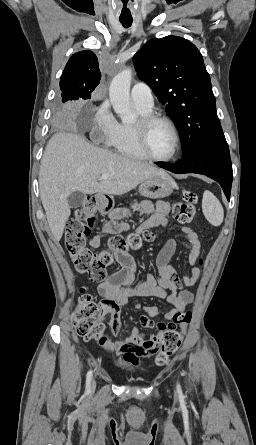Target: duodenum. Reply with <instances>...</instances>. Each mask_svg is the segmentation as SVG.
I'll return each mask as SVG.
<instances>
[{
    "instance_id": "duodenum-1",
    "label": "duodenum",
    "mask_w": 256,
    "mask_h": 445,
    "mask_svg": "<svg viewBox=\"0 0 256 445\" xmlns=\"http://www.w3.org/2000/svg\"><path fill=\"white\" fill-rule=\"evenodd\" d=\"M97 203H98V209L103 215H106L112 206L111 202L107 198L103 197H98Z\"/></svg>"
}]
</instances>
